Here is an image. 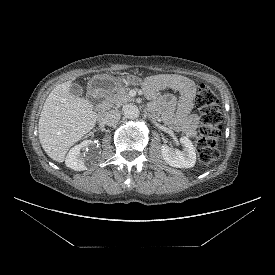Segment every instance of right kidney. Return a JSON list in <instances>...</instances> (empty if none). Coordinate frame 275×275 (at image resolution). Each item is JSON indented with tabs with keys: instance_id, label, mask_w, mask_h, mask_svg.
<instances>
[{
	"instance_id": "ca27d5eb",
	"label": "right kidney",
	"mask_w": 275,
	"mask_h": 275,
	"mask_svg": "<svg viewBox=\"0 0 275 275\" xmlns=\"http://www.w3.org/2000/svg\"><path fill=\"white\" fill-rule=\"evenodd\" d=\"M91 141L85 140L81 142L79 145L73 147L69 153L67 154L65 163L66 166L75 170V171H83L86 170L87 167L85 165V160L80 156L81 149L89 146Z\"/></svg>"
}]
</instances>
